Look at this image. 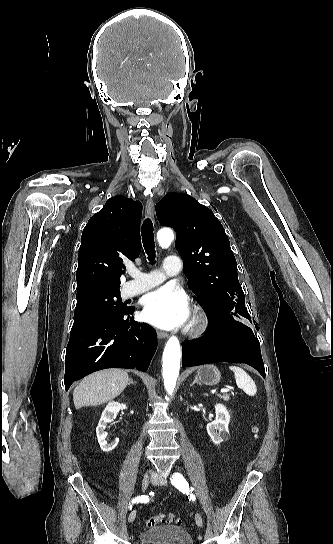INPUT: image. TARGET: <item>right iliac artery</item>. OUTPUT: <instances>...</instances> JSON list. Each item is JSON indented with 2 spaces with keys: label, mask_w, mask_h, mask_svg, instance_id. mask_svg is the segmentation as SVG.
<instances>
[{
  "label": "right iliac artery",
  "mask_w": 333,
  "mask_h": 544,
  "mask_svg": "<svg viewBox=\"0 0 333 544\" xmlns=\"http://www.w3.org/2000/svg\"><path fill=\"white\" fill-rule=\"evenodd\" d=\"M149 501V497L148 496H137L135 498H133L131 500V502L129 503V509L131 510L132 509V505L135 504V503H139V502H148Z\"/></svg>",
  "instance_id": "82829eb1"
}]
</instances>
